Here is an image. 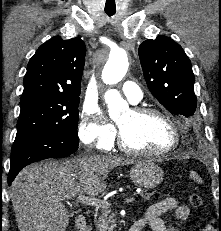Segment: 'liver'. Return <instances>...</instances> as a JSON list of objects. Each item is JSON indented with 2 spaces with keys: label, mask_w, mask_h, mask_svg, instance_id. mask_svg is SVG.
<instances>
[{
  "label": "liver",
  "mask_w": 221,
  "mask_h": 231,
  "mask_svg": "<svg viewBox=\"0 0 221 231\" xmlns=\"http://www.w3.org/2000/svg\"><path fill=\"white\" fill-rule=\"evenodd\" d=\"M134 163L113 155L49 160L25 167L11 185L10 197L20 231H66L70 214L63 201L95 196L106 188L110 169Z\"/></svg>",
  "instance_id": "liver-1"
}]
</instances>
